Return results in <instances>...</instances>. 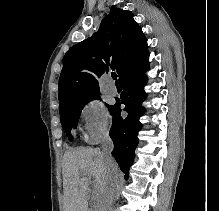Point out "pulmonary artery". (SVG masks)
Wrapping results in <instances>:
<instances>
[{"instance_id": "1", "label": "pulmonary artery", "mask_w": 219, "mask_h": 211, "mask_svg": "<svg viewBox=\"0 0 219 211\" xmlns=\"http://www.w3.org/2000/svg\"><path fill=\"white\" fill-rule=\"evenodd\" d=\"M107 91L110 95L115 96L117 95L118 91L117 88L112 80V78H108V87H107Z\"/></svg>"}]
</instances>
